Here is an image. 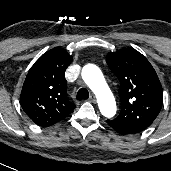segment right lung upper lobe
I'll return each instance as SVG.
<instances>
[{"instance_id": "right-lung-upper-lobe-1", "label": "right lung upper lobe", "mask_w": 171, "mask_h": 171, "mask_svg": "<svg viewBox=\"0 0 171 171\" xmlns=\"http://www.w3.org/2000/svg\"><path fill=\"white\" fill-rule=\"evenodd\" d=\"M72 61L65 50L44 53L29 70L20 102L29 118L39 126H50L67 117L75 108L66 93L64 72Z\"/></svg>"}]
</instances>
